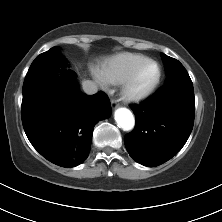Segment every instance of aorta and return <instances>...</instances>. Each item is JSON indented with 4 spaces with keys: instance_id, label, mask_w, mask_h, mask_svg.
I'll return each instance as SVG.
<instances>
[{
    "instance_id": "1",
    "label": "aorta",
    "mask_w": 222,
    "mask_h": 222,
    "mask_svg": "<svg viewBox=\"0 0 222 222\" xmlns=\"http://www.w3.org/2000/svg\"><path fill=\"white\" fill-rule=\"evenodd\" d=\"M114 119L118 126L124 131H130L135 126V118L132 112L127 108H118L115 111Z\"/></svg>"
}]
</instances>
